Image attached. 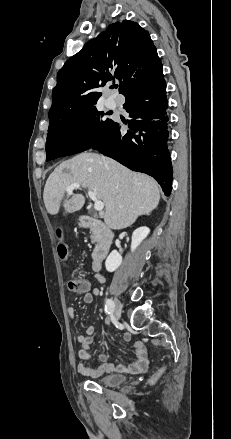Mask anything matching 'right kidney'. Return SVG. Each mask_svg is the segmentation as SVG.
Here are the masks:
<instances>
[{
  "mask_svg": "<svg viewBox=\"0 0 231 439\" xmlns=\"http://www.w3.org/2000/svg\"><path fill=\"white\" fill-rule=\"evenodd\" d=\"M150 233V229L146 226L137 228L132 234L131 251L134 252L141 242ZM122 263V256L116 250H113L105 261V267L108 272L115 271Z\"/></svg>",
  "mask_w": 231,
  "mask_h": 439,
  "instance_id": "ca27d5eb",
  "label": "right kidney"
}]
</instances>
